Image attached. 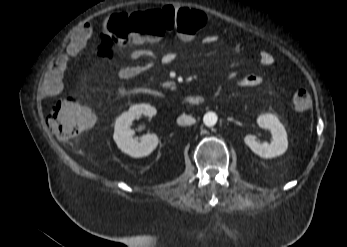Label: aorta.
<instances>
[{
  "label": "aorta",
  "mask_w": 347,
  "mask_h": 247,
  "mask_svg": "<svg viewBox=\"0 0 347 247\" xmlns=\"http://www.w3.org/2000/svg\"><path fill=\"white\" fill-rule=\"evenodd\" d=\"M204 124L212 127L217 123V115L214 112H207L203 118Z\"/></svg>",
  "instance_id": "obj_1"
}]
</instances>
